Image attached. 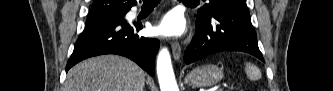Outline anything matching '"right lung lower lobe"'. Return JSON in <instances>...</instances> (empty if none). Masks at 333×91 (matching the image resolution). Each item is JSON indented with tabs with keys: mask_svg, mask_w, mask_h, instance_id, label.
Segmentation results:
<instances>
[{
	"mask_svg": "<svg viewBox=\"0 0 333 91\" xmlns=\"http://www.w3.org/2000/svg\"><path fill=\"white\" fill-rule=\"evenodd\" d=\"M140 29L141 23L128 24L124 16L88 18L67 63L66 72L86 58L117 54L130 58L154 76V58L160 43L157 39L138 36L136 31Z\"/></svg>",
	"mask_w": 333,
	"mask_h": 91,
	"instance_id": "1",
	"label": "right lung lower lobe"
}]
</instances>
